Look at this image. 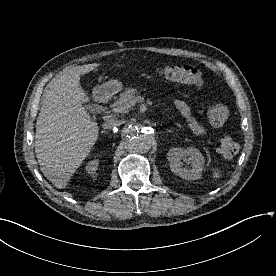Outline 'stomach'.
Segmentation results:
<instances>
[{"instance_id": "0dacf381", "label": "stomach", "mask_w": 276, "mask_h": 276, "mask_svg": "<svg viewBox=\"0 0 276 276\" xmlns=\"http://www.w3.org/2000/svg\"><path fill=\"white\" fill-rule=\"evenodd\" d=\"M122 89V83L118 80H110L94 88L93 94L97 98H104L114 95Z\"/></svg>"}]
</instances>
